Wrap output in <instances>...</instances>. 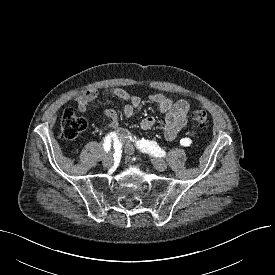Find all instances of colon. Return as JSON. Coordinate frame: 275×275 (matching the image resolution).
I'll use <instances>...</instances> for the list:
<instances>
[{"label":"colon","mask_w":275,"mask_h":275,"mask_svg":"<svg viewBox=\"0 0 275 275\" xmlns=\"http://www.w3.org/2000/svg\"><path fill=\"white\" fill-rule=\"evenodd\" d=\"M190 120L199 127H205L208 124V115L203 109H196L191 112ZM87 121L84 117L77 115L72 109H66L61 117L62 136L67 140L75 139L85 130Z\"/></svg>","instance_id":"colon-1"}]
</instances>
